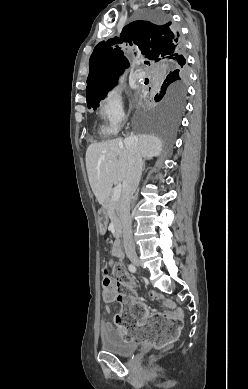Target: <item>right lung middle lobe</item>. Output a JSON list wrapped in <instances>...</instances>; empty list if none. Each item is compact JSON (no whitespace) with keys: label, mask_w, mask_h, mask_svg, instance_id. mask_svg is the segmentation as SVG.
Here are the masks:
<instances>
[{"label":"right lung middle lobe","mask_w":248,"mask_h":389,"mask_svg":"<svg viewBox=\"0 0 248 389\" xmlns=\"http://www.w3.org/2000/svg\"><path fill=\"white\" fill-rule=\"evenodd\" d=\"M145 18L154 23L170 22L159 10L145 12ZM188 70L184 63L173 62L161 68L155 87L156 110L149 115H140L143 128L160 137L166 144L172 142V132L184 110L187 95ZM103 88L87 97L89 109H96L113 86Z\"/></svg>","instance_id":"dd1d6c3e"}]
</instances>
